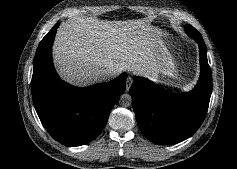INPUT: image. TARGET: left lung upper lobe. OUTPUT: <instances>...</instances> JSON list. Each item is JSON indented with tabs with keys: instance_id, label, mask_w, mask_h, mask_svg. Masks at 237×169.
I'll return each instance as SVG.
<instances>
[{
	"instance_id": "left-lung-upper-lobe-1",
	"label": "left lung upper lobe",
	"mask_w": 237,
	"mask_h": 169,
	"mask_svg": "<svg viewBox=\"0 0 237 169\" xmlns=\"http://www.w3.org/2000/svg\"><path fill=\"white\" fill-rule=\"evenodd\" d=\"M186 30L190 31L191 33H193L194 35H198L201 36L200 33L191 25H186L185 26Z\"/></svg>"
}]
</instances>
